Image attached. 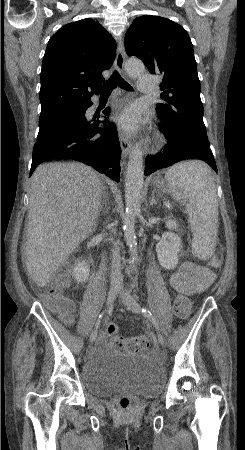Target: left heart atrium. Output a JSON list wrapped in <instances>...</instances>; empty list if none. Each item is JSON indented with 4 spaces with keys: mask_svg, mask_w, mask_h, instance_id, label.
I'll use <instances>...</instances> for the list:
<instances>
[{
    "mask_svg": "<svg viewBox=\"0 0 245 450\" xmlns=\"http://www.w3.org/2000/svg\"><path fill=\"white\" fill-rule=\"evenodd\" d=\"M114 121L122 131L132 134L140 128L144 122V119L139 107L136 105H131L119 113L114 118Z\"/></svg>",
    "mask_w": 245,
    "mask_h": 450,
    "instance_id": "39dd6f15",
    "label": "left heart atrium"
}]
</instances>
